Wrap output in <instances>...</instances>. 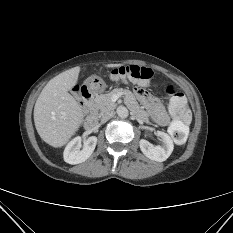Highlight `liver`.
<instances>
[{"instance_id": "liver-1", "label": "liver", "mask_w": 233, "mask_h": 233, "mask_svg": "<svg viewBox=\"0 0 233 233\" xmlns=\"http://www.w3.org/2000/svg\"><path fill=\"white\" fill-rule=\"evenodd\" d=\"M122 64H107V68ZM80 67L66 70L51 79L34 106V123L41 139L53 147L64 146L84 120L82 106L69 94L78 81Z\"/></svg>"}]
</instances>
